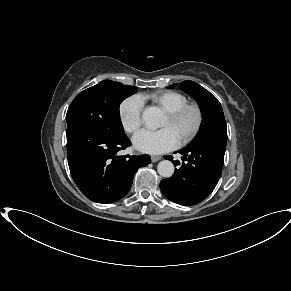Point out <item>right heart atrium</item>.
Instances as JSON below:
<instances>
[{
	"mask_svg": "<svg viewBox=\"0 0 291 291\" xmlns=\"http://www.w3.org/2000/svg\"><path fill=\"white\" fill-rule=\"evenodd\" d=\"M143 102L137 95L125 98L118 107V117L127 133H135L142 124Z\"/></svg>",
	"mask_w": 291,
	"mask_h": 291,
	"instance_id": "1",
	"label": "right heart atrium"
}]
</instances>
